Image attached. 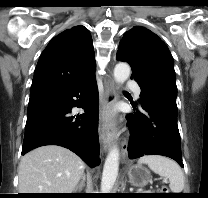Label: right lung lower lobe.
Returning a JSON list of instances; mask_svg holds the SVG:
<instances>
[{
	"instance_id": "98d812e1",
	"label": "right lung lower lobe",
	"mask_w": 208,
	"mask_h": 198,
	"mask_svg": "<svg viewBox=\"0 0 208 198\" xmlns=\"http://www.w3.org/2000/svg\"><path fill=\"white\" fill-rule=\"evenodd\" d=\"M98 105L95 74L65 93L30 101L21 154L44 145H59L90 167L99 165ZM74 106L84 110L76 121L70 115Z\"/></svg>"
}]
</instances>
